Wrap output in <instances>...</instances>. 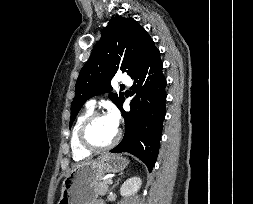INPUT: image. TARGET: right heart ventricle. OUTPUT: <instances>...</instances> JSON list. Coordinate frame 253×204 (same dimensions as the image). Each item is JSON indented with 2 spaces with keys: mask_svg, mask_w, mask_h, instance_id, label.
Listing matches in <instances>:
<instances>
[{
  "mask_svg": "<svg viewBox=\"0 0 253 204\" xmlns=\"http://www.w3.org/2000/svg\"><path fill=\"white\" fill-rule=\"evenodd\" d=\"M93 113V109L87 107L83 112L80 113V115L77 117L76 122L74 124L70 144H71V150H72V157L74 160L79 161L83 160L86 157L90 156L91 151L85 149L82 147L79 141V131L80 128L85 121V119Z\"/></svg>",
  "mask_w": 253,
  "mask_h": 204,
  "instance_id": "right-heart-ventricle-1",
  "label": "right heart ventricle"
}]
</instances>
